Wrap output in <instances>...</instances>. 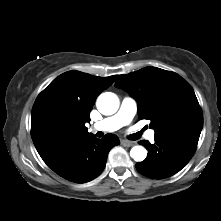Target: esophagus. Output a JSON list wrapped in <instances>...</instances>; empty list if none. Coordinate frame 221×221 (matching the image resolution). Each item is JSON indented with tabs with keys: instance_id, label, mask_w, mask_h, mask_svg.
Wrapping results in <instances>:
<instances>
[{
	"instance_id": "obj_1",
	"label": "esophagus",
	"mask_w": 221,
	"mask_h": 221,
	"mask_svg": "<svg viewBox=\"0 0 221 221\" xmlns=\"http://www.w3.org/2000/svg\"><path fill=\"white\" fill-rule=\"evenodd\" d=\"M121 144L125 147H131L135 144V142H132V141H128V140H122L121 141Z\"/></svg>"
}]
</instances>
